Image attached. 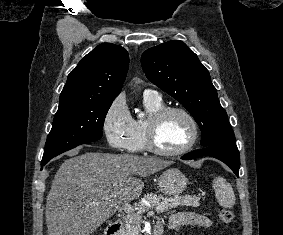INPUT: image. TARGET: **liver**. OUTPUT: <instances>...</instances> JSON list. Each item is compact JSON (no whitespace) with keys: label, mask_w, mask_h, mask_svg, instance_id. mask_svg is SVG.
Segmentation results:
<instances>
[{"label":"liver","mask_w":283,"mask_h":235,"mask_svg":"<svg viewBox=\"0 0 283 235\" xmlns=\"http://www.w3.org/2000/svg\"><path fill=\"white\" fill-rule=\"evenodd\" d=\"M78 150L58 169L46 201L48 235H90L124 202L142 193L147 177L173 162Z\"/></svg>","instance_id":"1"}]
</instances>
